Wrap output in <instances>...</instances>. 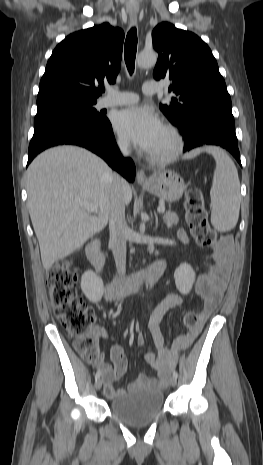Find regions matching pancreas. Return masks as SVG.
Masks as SVG:
<instances>
[{
    "label": "pancreas",
    "mask_w": 263,
    "mask_h": 465,
    "mask_svg": "<svg viewBox=\"0 0 263 465\" xmlns=\"http://www.w3.org/2000/svg\"><path fill=\"white\" fill-rule=\"evenodd\" d=\"M178 221H179V218L174 212L168 211L164 215V222L166 223L168 228H171L173 225H176Z\"/></svg>",
    "instance_id": "obj_1"
}]
</instances>
